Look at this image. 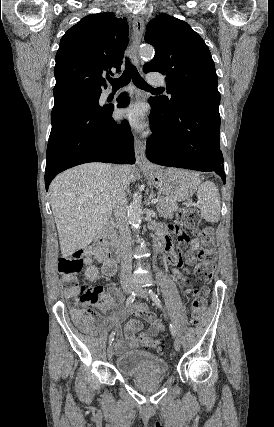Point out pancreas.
<instances>
[{
    "label": "pancreas",
    "mask_w": 274,
    "mask_h": 427,
    "mask_svg": "<svg viewBox=\"0 0 274 427\" xmlns=\"http://www.w3.org/2000/svg\"><path fill=\"white\" fill-rule=\"evenodd\" d=\"M157 212L158 215H163V217H168L171 219L174 212H177V204L174 200H166V198H159L157 202Z\"/></svg>",
    "instance_id": "1"
}]
</instances>
